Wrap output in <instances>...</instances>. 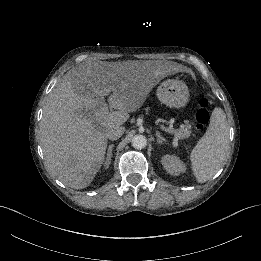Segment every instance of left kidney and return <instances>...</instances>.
<instances>
[{
    "label": "left kidney",
    "instance_id": "5707ae66",
    "mask_svg": "<svg viewBox=\"0 0 261 261\" xmlns=\"http://www.w3.org/2000/svg\"><path fill=\"white\" fill-rule=\"evenodd\" d=\"M161 163L170 175L178 176L186 171L185 164L175 155H164Z\"/></svg>",
    "mask_w": 261,
    "mask_h": 261
}]
</instances>
